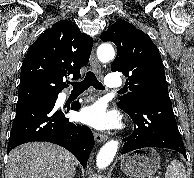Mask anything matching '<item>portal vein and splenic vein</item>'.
<instances>
[{"mask_svg": "<svg viewBox=\"0 0 194 178\" xmlns=\"http://www.w3.org/2000/svg\"><path fill=\"white\" fill-rule=\"evenodd\" d=\"M154 178H160L159 176H156V177H154Z\"/></svg>", "mask_w": 194, "mask_h": 178, "instance_id": "18ae733b", "label": "portal vein and splenic vein"}]
</instances>
